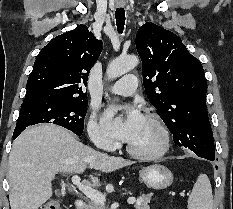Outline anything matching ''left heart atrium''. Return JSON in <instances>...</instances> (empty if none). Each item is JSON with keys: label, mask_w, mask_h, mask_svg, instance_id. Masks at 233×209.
<instances>
[{"label": "left heart atrium", "mask_w": 233, "mask_h": 209, "mask_svg": "<svg viewBox=\"0 0 233 209\" xmlns=\"http://www.w3.org/2000/svg\"><path fill=\"white\" fill-rule=\"evenodd\" d=\"M144 118L141 111L135 106H129L125 109L112 106L105 111L103 124L114 136L129 142L136 135Z\"/></svg>", "instance_id": "1"}]
</instances>
